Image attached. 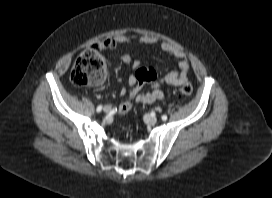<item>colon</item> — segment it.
<instances>
[{
	"instance_id": "5ec220e1",
	"label": "colon",
	"mask_w": 272,
	"mask_h": 198,
	"mask_svg": "<svg viewBox=\"0 0 272 198\" xmlns=\"http://www.w3.org/2000/svg\"><path fill=\"white\" fill-rule=\"evenodd\" d=\"M106 59L96 49H88L83 51L77 57L72 70L71 81L77 86L95 85L102 82L107 70ZM156 74L151 67L139 69L140 77L153 76ZM179 95L188 97L192 93V88L189 85L182 86L178 89Z\"/></svg>"
}]
</instances>
